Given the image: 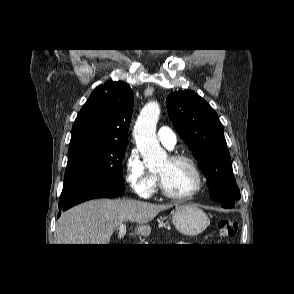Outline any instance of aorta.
I'll return each mask as SVG.
<instances>
[{
  "mask_svg": "<svg viewBox=\"0 0 294 294\" xmlns=\"http://www.w3.org/2000/svg\"><path fill=\"white\" fill-rule=\"evenodd\" d=\"M159 115V104L149 102L141 110L133 131L137 148L150 170L162 166L167 158L156 137Z\"/></svg>",
  "mask_w": 294,
  "mask_h": 294,
  "instance_id": "1",
  "label": "aorta"
}]
</instances>
